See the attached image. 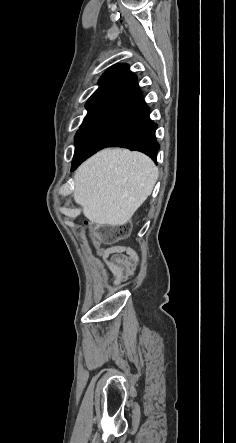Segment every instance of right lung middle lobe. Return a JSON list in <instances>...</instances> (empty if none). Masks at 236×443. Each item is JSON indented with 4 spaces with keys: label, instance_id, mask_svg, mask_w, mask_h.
<instances>
[{
    "label": "right lung middle lobe",
    "instance_id": "dd1d6c3e",
    "mask_svg": "<svg viewBox=\"0 0 236 443\" xmlns=\"http://www.w3.org/2000/svg\"><path fill=\"white\" fill-rule=\"evenodd\" d=\"M105 100L100 101H93V102H87L85 107L88 110V114L85 117L83 124L81 125V128L89 121V119L92 117V115L98 110V108L104 103ZM80 130V129H79ZM78 130V131H79Z\"/></svg>",
    "mask_w": 236,
    "mask_h": 443
}]
</instances>
